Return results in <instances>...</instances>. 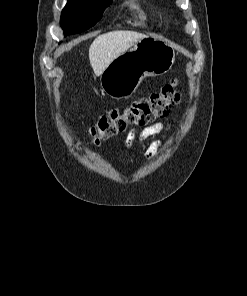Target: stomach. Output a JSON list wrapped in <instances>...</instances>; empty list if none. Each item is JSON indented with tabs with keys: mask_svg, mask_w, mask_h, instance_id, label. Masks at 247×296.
<instances>
[{
	"mask_svg": "<svg viewBox=\"0 0 247 296\" xmlns=\"http://www.w3.org/2000/svg\"><path fill=\"white\" fill-rule=\"evenodd\" d=\"M175 61V50L167 42L147 36L122 53L100 76L102 90L116 99L131 96L147 76L167 73Z\"/></svg>",
	"mask_w": 247,
	"mask_h": 296,
	"instance_id": "1",
	"label": "stomach"
}]
</instances>
